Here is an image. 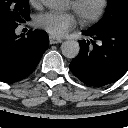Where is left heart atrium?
<instances>
[{"instance_id": "left-heart-atrium-1", "label": "left heart atrium", "mask_w": 128, "mask_h": 128, "mask_svg": "<svg viewBox=\"0 0 128 128\" xmlns=\"http://www.w3.org/2000/svg\"><path fill=\"white\" fill-rule=\"evenodd\" d=\"M35 26L53 36H62L76 25V18L70 12H44L35 17Z\"/></svg>"}]
</instances>
